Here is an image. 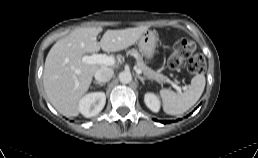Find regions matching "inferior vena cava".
I'll list each match as a JSON object with an SVG mask.
<instances>
[{
    "label": "inferior vena cava",
    "mask_w": 258,
    "mask_h": 158,
    "mask_svg": "<svg viewBox=\"0 0 258 158\" xmlns=\"http://www.w3.org/2000/svg\"><path fill=\"white\" fill-rule=\"evenodd\" d=\"M114 71L112 68L101 67L95 73V79L99 83H106L113 77Z\"/></svg>",
    "instance_id": "obj_1"
}]
</instances>
